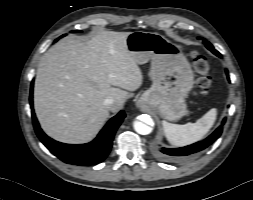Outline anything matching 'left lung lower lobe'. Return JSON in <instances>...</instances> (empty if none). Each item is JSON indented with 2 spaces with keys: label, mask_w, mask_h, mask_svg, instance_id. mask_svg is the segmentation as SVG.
Returning a JSON list of instances; mask_svg holds the SVG:
<instances>
[{
  "label": "left lung lower lobe",
  "mask_w": 253,
  "mask_h": 200,
  "mask_svg": "<svg viewBox=\"0 0 253 200\" xmlns=\"http://www.w3.org/2000/svg\"><path fill=\"white\" fill-rule=\"evenodd\" d=\"M227 76L228 72L226 71ZM225 119L222 122V125L224 124ZM222 125L218 127L210 136H208L206 139L198 141L194 144H191L189 146L181 147V148H161L158 151V155L163 159H173V160H182L186 158L193 157L197 153L203 151L208 146H210L214 141H216L221 133H222Z\"/></svg>",
  "instance_id": "0a47b994"
}]
</instances>
